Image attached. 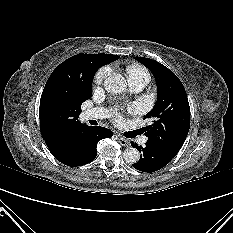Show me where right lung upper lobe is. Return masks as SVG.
Here are the masks:
<instances>
[{
    "instance_id": "right-lung-upper-lobe-1",
    "label": "right lung upper lobe",
    "mask_w": 233,
    "mask_h": 233,
    "mask_svg": "<svg viewBox=\"0 0 233 233\" xmlns=\"http://www.w3.org/2000/svg\"><path fill=\"white\" fill-rule=\"evenodd\" d=\"M91 58L99 59L101 66L115 61L119 56L109 54H78L62 62L50 75L40 100V127L42 137L49 150H55L67 143L74 130L81 125L76 119L61 126L48 124L41 114L44 97L53 91H61L68 95L79 83L86 80L85 63ZM100 66V67H101Z\"/></svg>"
}]
</instances>
